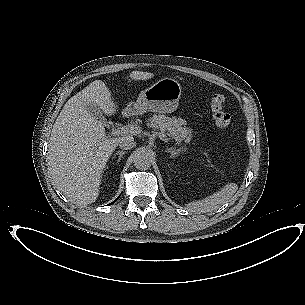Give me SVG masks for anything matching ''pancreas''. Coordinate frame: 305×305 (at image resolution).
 Listing matches in <instances>:
<instances>
[{
    "label": "pancreas",
    "mask_w": 305,
    "mask_h": 305,
    "mask_svg": "<svg viewBox=\"0 0 305 305\" xmlns=\"http://www.w3.org/2000/svg\"><path fill=\"white\" fill-rule=\"evenodd\" d=\"M153 126L159 128L161 132H165L168 136L174 139L178 144L182 141L189 143L192 138V130L182 123L171 118H155Z\"/></svg>",
    "instance_id": "1"
}]
</instances>
